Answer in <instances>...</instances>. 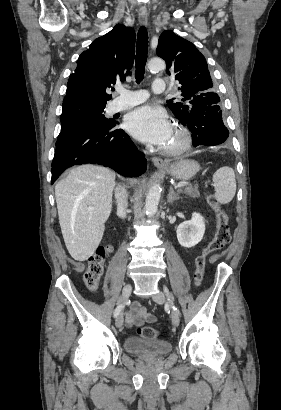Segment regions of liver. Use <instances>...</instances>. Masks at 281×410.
<instances>
[{"label":"liver","mask_w":281,"mask_h":410,"mask_svg":"<svg viewBox=\"0 0 281 410\" xmlns=\"http://www.w3.org/2000/svg\"><path fill=\"white\" fill-rule=\"evenodd\" d=\"M115 173L86 164L71 169L55 186L59 224L71 257L85 261L99 246L112 211Z\"/></svg>","instance_id":"6515ba94"}]
</instances>
